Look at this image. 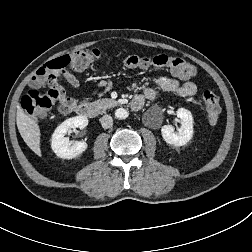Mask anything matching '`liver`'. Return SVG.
<instances>
[{
    "instance_id": "liver-1",
    "label": "liver",
    "mask_w": 252,
    "mask_h": 252,
    "mask_svg": "<svg viewBox=\"0 0 252 252\" xmlns=\"http://www.w3.org/2000/svg\"><path fill=\"white\" fill-rule=\"evenodd\" d=\"M16 123L24 142L35 154L41 156L39 125L20 106L17 107Z\"/></svg>"
}]
</instances>
